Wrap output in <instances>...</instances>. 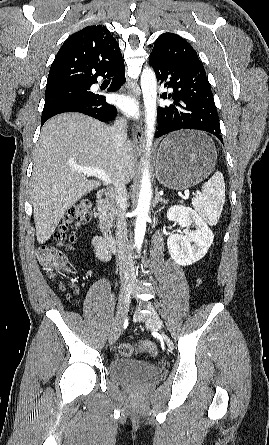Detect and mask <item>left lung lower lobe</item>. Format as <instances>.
<instances>
[{
	"instance_id": "obj_1",
	"label": "left lung lower lobe",
	"mask_w": 269,
	"mask_h": 445,
	"mask_svg": "<svg viewBox=\"0 0 269 445\" xmlns=\"http://www.w3.org/2000/svg\"><path fill=\"white\" fill-rule=\"evenodd\" d=\"M157 79L173 93H162L161 98H172L173 105L158 107L156 137L182 130L195 129L215 135L222 143L220 124L211 86L202 64H173L149 57Z\"/></svg>"
}]
</instances>
